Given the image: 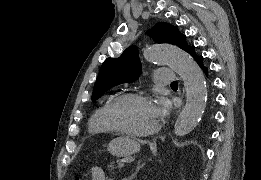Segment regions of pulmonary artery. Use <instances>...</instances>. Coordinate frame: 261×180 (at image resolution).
Here are the masks:
<instances>
[{
  "instance_id": "pulmonary-artery-1",
  "label": "pulmonary artery",
  "mask_w": 261,
  "mask_h": 180,
  "mask_svg": "<svg viewBox=\"0 0 261 180\" xmlns=\"http://www.w3.org/2000/svg\"><path fill=\"white\" fill-rule=\"evenodd\" d=\"M170 67H157L155 72L154 83H175V78H161V77H180V72H170Z\"/></svg>"
}]
</instances>
